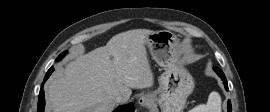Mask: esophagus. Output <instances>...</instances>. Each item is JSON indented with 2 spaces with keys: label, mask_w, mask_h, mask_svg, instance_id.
Returning <instances> with one entry per match:
<instances>
[{
  "label": "esophagus",
  "mask_w": 270,
  "mask_h": 112,
  "mask_svg": "<svg viewBox=\"0 0 270 112\" xmlns=\"http://www.w3.org/2000/svg\"><path fill=\"white\" fill-rule=\"evenodd\" d=\"M153 100L150 95H142L138 99V103L142 107H149L152 104Z\"/></svg>",
  "instance_id": "34e87169"
}]
</instances>
